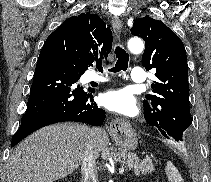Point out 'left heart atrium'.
I'll return each mask as SVG.
<instances>
[{"label":"left heart atrium","mask_w":211,"mask_h":182,"mask_svg":"<svg viewBox=\"0 0 211 182\" xmlns=\"http://www.w3.org/2000/svg\"><path fill=\"white\" fill-rule=\"evenodd\" d=\"M102 104L110 111L125 116H133L137 112L134 97L124 89L105 93Z\"/></svg>","instance_id":"obj_1"}]
</instances>
